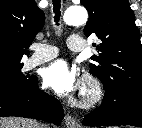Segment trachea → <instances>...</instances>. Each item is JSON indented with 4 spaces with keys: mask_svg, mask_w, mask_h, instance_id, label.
<instances>
[{
    "mask_svg": "<svg viewBox=\"0 0 142 128\" xmlns=\"http://www.w3.org/2000/svg\"><path fill=\"white\" fill-rule=\"evenodd\" d=\"M53 2V10H54V13H55V22L57 23L58 25V22H59V18H60V8H61V0H52Z\"/></svg>",
    "mask_w": 142,
    "mask_h": 128,
    "instance_id": "obj_1",
    "label": "trachea"
}]
</instances>
